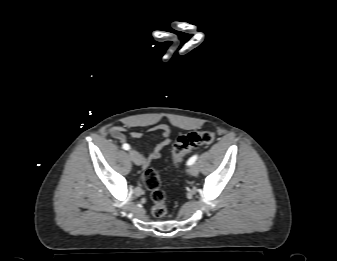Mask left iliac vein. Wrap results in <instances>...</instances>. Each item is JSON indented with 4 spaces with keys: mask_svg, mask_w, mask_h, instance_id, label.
Masks as SVG:
<instances>
[{
    "mask_svg": "<svg viewBox=\"0 0 337 261\" xmlns=\"http://www.w3.org/2000/svg\"><path fill=\"white\" fill-rule=\"evenodd\" d=\"M189 173L196 176L199 173V167L197 165H192L189 169Z\"/></svg>",
    "mask_w": 337,
    "mask_h": 261,
    "instance_id": "obj_1",
    "label": "left iliac vein"
}]
</instances>
